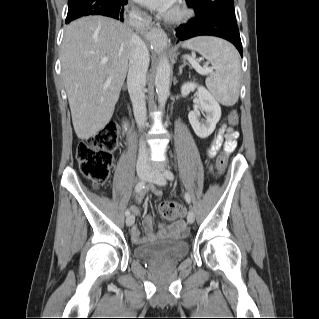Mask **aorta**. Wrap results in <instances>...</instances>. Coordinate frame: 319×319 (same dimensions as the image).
<instances>
[{
  "label": "aorta",
  "mask_w": 319,
  "mask_h": 319,
  "mask_svg": "<svg viewBox=\"0 0 319 319\" xmlns=\"http://www.w3.org/2000/svg\"><path fill=\"white\" fill-rule=\"evenodd\" d=\"M170 72V63L167 57H163L159 61L155 77V86L158 94V102L161 106L165 105L166 100L169 96Z\"/></svg>",
  "instance_id": "1"
}]
</instances>
